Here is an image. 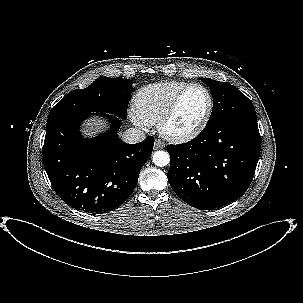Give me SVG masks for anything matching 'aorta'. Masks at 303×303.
<instances>
[{"instance_id":"762f6f07","label":"aorta","mask_w":303,"mask_h":303,"mask_svg":"<svg viewBox=\"0 0 303 303\" xmlns=\"http://www.w3.org/2000/svg\"><path fill=\"white\" fill-rule=\"evenodd\" d=\"M152 159L153 163L158 167H164L170 163V156L166 151H156Z\"/></svg>"}]
</instances>
